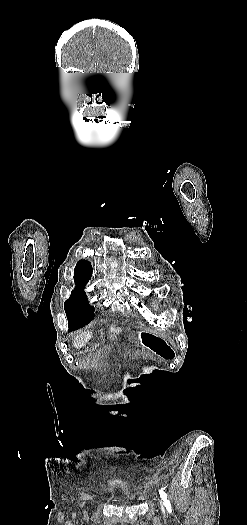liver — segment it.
Returning <instances> with one entry per match:
<instances>
[{"label": "liver", "instance_id": "6515ba94", "mask_svg": "<svg viewBox=\"0 0 247 525\" xmlns=\"http://www.w3.org/2000/svg\"><path fill=\"white\" fill-rule=\"evenodd\" d=\"M89 339L90 333H80V335H76L73 347H75V349H82V347H85V343H87Z\"/></svg>", "mask_w": 247, "mask_h": 525}]
</instances>
